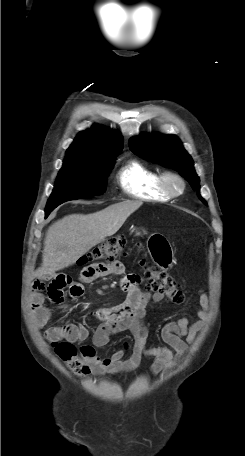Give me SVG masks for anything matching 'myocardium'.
<instances>
[{"instance_id": "obj_1", "label": "myocardium", "mask_w": 245, "mask_h": 456, "mask_svg": "<svg viewBox=\"0 0 245 456\" xmlns=\"http://www.w3.org/2000/svg\"><path fill=\"white\" fill-rule=\"evenodd\" d=\"M159 186L168 196L177 197L184 192L186 184L184 178L178 173L164 172L160 174Z\"/></svg>"}]
</instances>
